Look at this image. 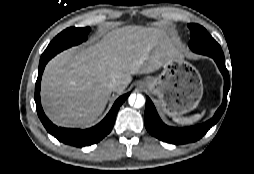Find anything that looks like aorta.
<instances>
[{
    "label": "aorta",
    "instance_id": "aorta-1",
    "mask_svg": "<svg viewBox=\"0 0 254 174\" xmlns=\"http://www.w3.org/2000/svg\"><path fill=\"white\" fill-rule=\"evenodd\" d=\"M129 104L134 106L135 108H141L145 104V98L141 94H132L129 97Z\"/></svg>",
    "mask_w": 254,
    "mask_h": 174
}]
</instances>
